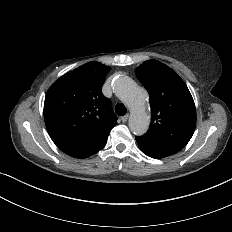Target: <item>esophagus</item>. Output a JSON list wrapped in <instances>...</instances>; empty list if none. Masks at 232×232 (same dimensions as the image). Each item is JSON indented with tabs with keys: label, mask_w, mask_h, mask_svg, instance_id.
<instances>
[{
	"label": "esophagus",
	"mask_w": 232,
	"mask_h": 232,
	"mask_svg": "<svg viewBox=\"0 0 232 232\" xmlns=\"http://www.w3.org/2000/svg\"><path fill=\"white\" fill-rule=\"evenodd\" d=\"M128 117H129L128 114H126V115H124L123 117H121L122 122H123V123H126L127 120H128Z\"/></svg>",
	"instance_id": "34e87169"
}]
</instances>
